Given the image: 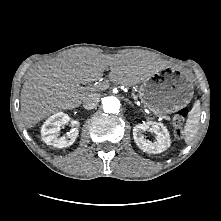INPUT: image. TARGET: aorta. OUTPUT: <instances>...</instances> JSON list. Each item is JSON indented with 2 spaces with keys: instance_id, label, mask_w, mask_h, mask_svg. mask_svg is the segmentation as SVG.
Returning <instances> with one entry per match:
<instances>
[{
  "instance_id": "aorta-1",
  "label": "aorta",
  "mask_w": 221,
  "mask_h": 221,
  "mask_svg": "<svg viewBox=\"0 0 221 221\" xmlns=\"http://www.w3.org/2000/svg\"><path fill=\"white\" fill-rule=\"evenodd\" d=\"M103 110L106 113H118L120 101L114 96L105 97L102 100Z\"/></svg>"
}]
</instances>
